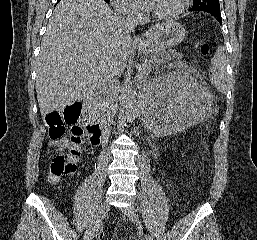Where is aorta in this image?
I'll return each mask as SVG.
<instances>
[{"label":"aorta","instance_id":"aorta-1","mask_svg":"<svg viewBox=\"0 0 257 240\" xmlns=\"http://www.w3.org/2000/svg\"><path fill=\"white\" fill-rule=\"evenodd\" d=\"M138 112V103L136 100V92L129 83L126 87V99H125V116L127 121L132 122Z\"/></svg>","mask_w":257,"mask_h":240}]
</instances>
